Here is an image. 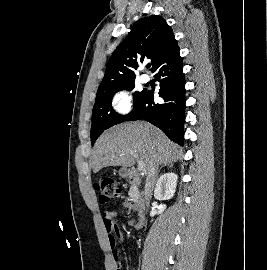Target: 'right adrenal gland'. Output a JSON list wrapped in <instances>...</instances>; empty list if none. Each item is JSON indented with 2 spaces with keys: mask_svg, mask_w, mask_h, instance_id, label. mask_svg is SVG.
I'll list each match as a JSON object with an SVG mask.
<instances>
[{
  "mask_svg": "<svg viewBox=\"0 0 267 270\" xmlns=\"http://www.w3.org/2000/svg\"><path fill=\"white\" fill-rule=\"evenodd\" d=\"M163 167L172 168V167H173V163H166V164H164L163 166L160 167V169L158 170V173L160 172V170H161Z\"/></svg>",
  "mask_w": 267,
  "mask_h": 270,
  "instance_id": "2a0ac1e0",
  "label": "right adrenal gland"
}]
</instances>
